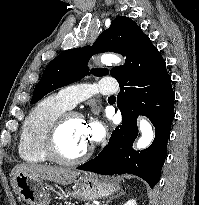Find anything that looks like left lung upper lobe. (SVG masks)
Returning a JSON list of instances; mask_svg holds the SVG:
<instances>
[{
    "instance_id": "left-lung-upper-lobe-1",
    "label": "left lung upper lobe",
    "mask_w": 199,
    "mask_h": 205,
    "mask_svg": "<svg viewBox=\"0 0 199 205\" xmlns=\"http://www.w3.org/2000/svg\"><path fill=\"white\" fill-rule=\"evenodd\" d=\"M141 31V28L129 17L119 16L99 35L92 47L85 46L60 53L45 68L34 89L31 104L57 88L81 80L88 72L87 61L93 54L111 51L127 56ZM120 67H114L109 72L107 69H95L93 74L96 76L110 74L116 78Z\"/></svg>"
}]
</instances>
